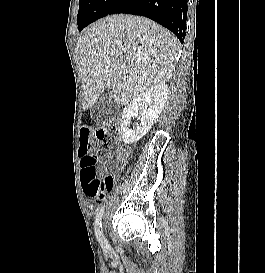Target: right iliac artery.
<instances>
[{"mask_svg":"<svg viewBox=\"0 0 265 273\" xmlns=\"http://www.w3.org/2000/svg\"><path fill=\"white\" fill-rule=\"evenodd\" d=\"M104 210H105L104 206H102L100 209L97 210L96 217H95V234L101 247L105 249L108 247V242L103 235L102 225H101V219H102Z\"/></svg>","mask_w":265,"mask_h":273,"instance_id":"right-iliac-artery-1","label":"right iliac artery"}]
</instances>
